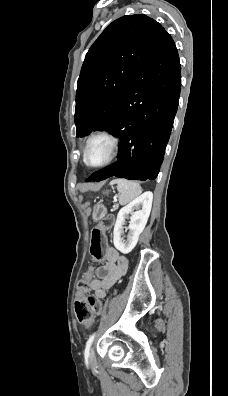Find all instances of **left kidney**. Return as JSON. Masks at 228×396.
I'll use <instances>...</instances> for the list:
<instances>
[{"label":"left kidney","mask_w":228,"mask_h":396,"mask_svg":"<svg viewBox=\"0 0 228 396\" xmlns=\"http://www.w3.org/2000/svg\"><path fill=\"white\" fill-rule=\"evenodd\" d=\"M153 194L152 192H145L119 211L117 220L114 226L113 242L117 250L123 254H128L136 246L139 235L144 230L148 221L151 207H152ZM130 215V222L128 225L129 236L125 241L121 236L124 233L123 226L125 219Z\"/></svg>","instance_id":"left-kidney-1"}]
</instances>
